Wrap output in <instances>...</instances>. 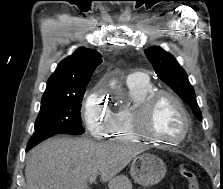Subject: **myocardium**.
<instances>
[{"mask_svg": "<svg viewBox=\"0 0 223 189\" xmlns=\"http://www.w3.org/2000/svg\"><path fill=\"white\" fill-rule=\"evenodd\" d=\"M169 98L180 110L183 120L184 129L180 137L175 140H167L157 135L151 134L148 130L149 120L152 111L157 102L162 98ZM133 129L139 139L152 143H159L165 146L173 147L182 143L190 134L192 121L190 114L182 100L174 93L166 90H154L144 97L133 109L131 117Z\"/></svg>", "mask_w": 223, "mask_h": 189, "instance_id": "obj_1", "label": "myocardium"}]
</instances>
